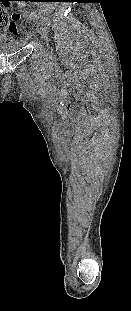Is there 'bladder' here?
Wrapping results in <instances>:
<instances>
[{"instance_id": "1", "label": "bladder", "mask_w": 131, "mask_h": 311, "mask_svg": "<svg viewBox=\"0 0 131 311\" xmlns=\"http://www.w3.org/2000/svg\"><path fill=\"white\" fill-rule=\"evenodd\" d=\"M24 41H11L7 43H0V53L15 52L25 46Z\"/></svg>"}]
</instances>
